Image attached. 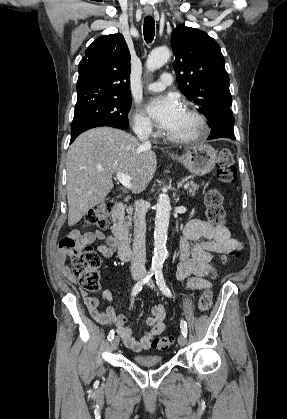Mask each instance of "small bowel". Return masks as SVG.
Listing matches in <instances>:
<instances>
[{
	"label": "small bowel",
	"mask_w": 287,
	"mask_h": 419,
	"mask_svg": "<svg viewBox=\"0 0 287 419\" xmlns=\"http://www.w3.org/2000/svg\"><path fill=\"white\" fill-rule=\"evenodd\" d=\"M73 234L79 233L74 231ZM81 238L87 244L96 240L104 241L97 247V251L105 258L112 257L119 249L117 238L113 235H105L102 231L87 232ZM238 246H240V242L231 237L226 226L213 225L201 219L189 221L179 242L178 278L188 279L186 286L189 290L209 288L211 282L206 277L212 270L215 255L231 251ZM57 263L63 275L74 281V276L66 262L65 253L61 252L58 255ZM82 297L91 317L103 325L114 324L126 347L134 352L148 350L153 339L165 330L166 313L162 306H156L152 310L151 316L146 321L149 328L143 337L138 340L132 335L131 329L127 325L128 314L116 315L114 309L110 306L101 310L99 308L100 300L89 296L86 292L82 293ZM101 297L103 300L110 302L115 300L109 290H104Z\"/></svg>",
	"instance_id": "obj_1"
}]
</instances>
